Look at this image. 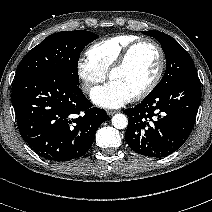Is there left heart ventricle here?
<instances>
[{
  "label": "left heart ventricle",
  "instance_id": "b2bd125f",
  "mask_svg": "<svg viewBox=\"0 0 212 212\" xmlns=\"http://www.w3.org/2000/svg\"><path fill=\"white\" fill-rule=\"evenodd\" d=\"M158 63L157 51L151 45H141L133 51L127 64L113 74L111 82L134 96L151 81Z\"/></svg>",
  "mask_w": 212,
  "mask_h": 212
}]
</instances>
